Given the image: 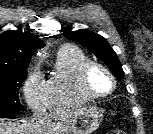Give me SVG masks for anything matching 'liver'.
Listing matches in <instances>:
<instances>
[{
    "label": "liver",
    "instance_id": "obj_1",
    "mask_svg": "<svg viewBox=\"0 0 153 134\" xmlns=\"http://www.w3.org/2000/svg\"><path fill=\"white\" fill-rule=\"evenodd\" d=\"M79 108L53 112L37 116L31 121H5L0 119V134H68Z\"/></svg>",
    "mask_w": 153,
    "mask_h": 134
}]
</instances>
